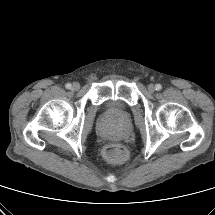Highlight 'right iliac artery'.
Instances as JSON below:
<instances>
[{"label": "right iliac artery", "instance_id": "obj_1", "mask_svg": "<svg viewBox=\"0 0 215 215\" xmlns=\"http://www.w3.org/2000/svg\"><path fill=\"white\" fill-rule=\"evenodd\" d=\"M65 87H66L67 89H71L72 85H71L70 83H67V84L65 85Z\"/></svg>", "mask_w": 215, "mask_h": 215}]
</instances>
